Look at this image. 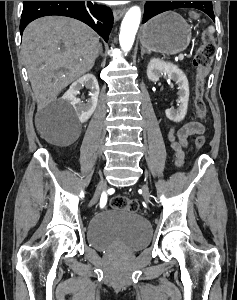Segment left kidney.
Here are the masks:
<instances>
[{
    "mask_svg": "<svg viewBox=\"0 0 237 300\" xmlns=\"http://www.w3.org/2000/svg\"><path fill=\"white\" fill-rule=\"evenodd\" d=\"M166 73L168 75V79H173L178 83V93L179 95V107L178 109H166L165 115L167 119L170 121H174V123H180L186 117L187 109H188V101H189V83L188 79L181 71L178 69L177 65H173V63H165V61H160V59H151L148 67H147V77L149 81H158L159 77Z\"/></svg>",
    "mask_w": 237,
    "mask_h": 300,
    "instance_id": "5707ae66",
    "label": "left kidney"
}]
</instances>
